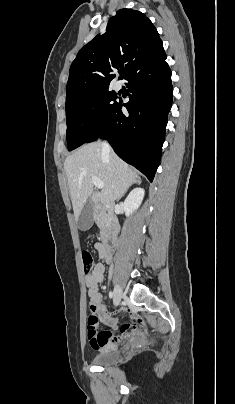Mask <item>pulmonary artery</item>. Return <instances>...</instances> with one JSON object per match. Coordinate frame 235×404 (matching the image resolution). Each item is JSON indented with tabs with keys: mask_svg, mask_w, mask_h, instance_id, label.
I'll return each instance as SVG.
<instances>
[{
	"mask_svg": "<svg viewBox=\"0 0 235 404\" xmlns=\"http://www.w3.org/2000/svg\"><path fill=\"white\" fill-rule=\"evenodd\" d=\"M114 87H115L116 90H120L121 89V84L119 82H116Z\"/></svg>",
	"mask_w": 235,
	"mask_h": 404,
	"instance_id": "obj_1",
	"label": "pulmonary artery"
}]
</instances>
